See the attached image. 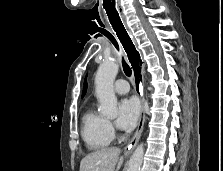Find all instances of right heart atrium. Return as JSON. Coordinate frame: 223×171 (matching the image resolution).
Instances as JSON below:
<instances>
[{
  "label": "right heart atrium",
  "mask_w": 223,
  "mask_h": 171,
  "mask_svg": "<svg viewBox=\"0 0 223 171\" xmlns=\"http://www.w3.org/2000/svg\"><path fill=\"white\" fill-rule=\"evenodd\" d=\"M108 127H109V130L112 134H114V128L112 126V124L110 122H108Z\"/></svg>",
  "instance_id": "d8ad5b80"
}]
</instances>
